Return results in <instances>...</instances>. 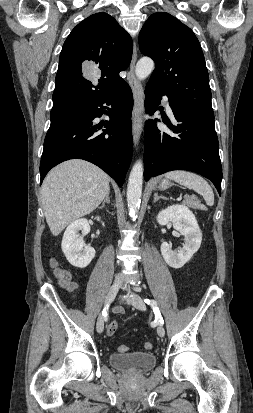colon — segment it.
<instances>
[{
    "instance_id": "colon-1",
    "label": "colon",
    "mask_w": 253,
    "mask_h": 413,
    "mask_svg": "<svg viewBox=\"0 0 253 413\" xmlns=\"http://www.w3.org/2000/svg\"><path fill=\"white\" fill-rule=\"evenodd\" d=\"M53 269H54L55 276L61 285L66 286L72 281L71 274L68 271L60 268L56 263H53ZM117 328H118L117 321L110 322L107 326V334L109 336H112L116 332ZM144 348L146 350H150L152 348V343L145 342ZM118 350L120 352H126L128 350V347L125 345H121L118 348Z\"/></svg>"
}]
</instances>
